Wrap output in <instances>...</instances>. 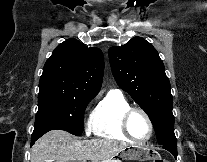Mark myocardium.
I'll use <instances>...</instances> for the list:
<instances>
[{
    "label": "myocardium",
    "instance_id": "1",
    "mask_svg": "<svg viewBox=\"0 0 207 162\" xmlns=\"http://www.w3.org/2000/svg\"><path fill=\"white\" fill-rule=\"evenodd\" d=\"M135 113L142 114L148 123L149 134L145 139H136L135 137H133V135L131 134V132L129 130V120H130L131 116ZM120 127H121L123 134L127 138H129L130 140H132L136 143H145V142L149 141L153 135V132H154V127H153V123H152L150 116L148 115V113L146 111H144L143 109L138 108V107H130L129 109H127L123 113L122 118H121Z\"/></svg>",
    "mask_w": 207,
    "mask_h": 162
}]
</instances>
